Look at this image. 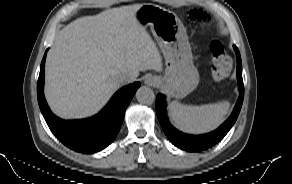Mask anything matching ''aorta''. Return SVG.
I'll use <instances>...</instances> for the list:
<instances>
[{"label":"aorta","mask_w":292,"mask_h":184,"mask_svg":"<svg viewBox=\"0 0 292 184\" xmlns=\"http://www.w3.org/2000/svg\"><path fill=\"white\" fill-rule=\"evenodd\" d=\"M135 97L141 103H150L154 99V93L151 88L141 86L137 89Z\"/></svg>","instance_id":"762f6f07"}]
</instances>
